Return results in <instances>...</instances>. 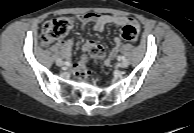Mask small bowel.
Instances as JSON below:
<instances>
[{
	"mask_svg": "<svg viewBox=\"0 0 194 133\" xmlns=\"http://www.w3.org/2000/svg\"><path fill=\"white\" fill-rule=\"evenodd\" d=\"M77 18L82 26H85L89 22H93L94 30L97 32H102L107 24H114L121 27L133 26L137 30V32L139 30L138 22L133 18L125 16H114L90 12L83 15H79ZM94 43L95 42L93 41L86 42L85 44L82 45V50L85 52L88 51ZM73 44L74 42L72 39H68L66 41L58 43L61 53L65 58L70 57ZM121 47H122L121 39L118 37L115 38L114 46L108 54L106 64H109L117 56V54L121 50Z\"/></svg>",
	"mask_w": 194,
	"mask_h": 133,
	"instance_id": "c3829d8e",
	"label": "small bowel"
}]
</instances>
